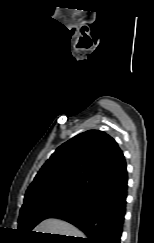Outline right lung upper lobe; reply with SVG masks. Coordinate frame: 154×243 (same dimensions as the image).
I'll return each mask as SVG.
<instances>
[{
  "mask_svg": "<svg viewBox=\"0 0 154 243\" xmlns=\"http://www.w3.org/2000/svg\"><path fill=\"white\" fill-rule=\"evenodd\" d=\"M124 172L125 158L116 141L89 130L56 149L28 187L24 202L54 195L87 199Z\"/></svg>",
  "mask_w": 154,
  "mask_h": 243,
  "instance_id": "cb5924a9",
  "label": "right lung upper lobe"
}]
</instances>
